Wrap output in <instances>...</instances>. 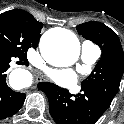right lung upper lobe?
Segmentation results:
<instances>
[{"label": "right lung upper lobe", "mask_w": 124, "mask_h": 124, "mask_svg": "<svg viewBox=\"0 0 124 124\" xmlns=\"http://www.w3.org/2000/svg\"><path fill=\"white\" fill-rule=\"evenodd\" d=\"M3 15L14 18L16 21H18L32 36V38L37 42L38 45L41 36V29L43 27V24L41 22H38L30 13L21 9L10 10L4 12Z\"/></svg>", "instance_id": "obj_1"}]
</instances>
